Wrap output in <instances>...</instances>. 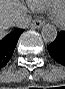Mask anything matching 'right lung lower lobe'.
<instances>
[{
	"mask_svg": "<svg viewBox=\"0 0 65 89\" xmlns=\"http://www.w3.org/2000/svg\"><path fill=\"white\" fill-rule=\"evenodd\" d=\"M24 29H16L0 40V68L4 67L13 55L18 39Z\"/></svg>",
	"mask_w": 65,
	"mask_h": 89,
	"instance_id": "1",
	"label": "right lung lower lobe"
}]
</instances>
